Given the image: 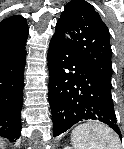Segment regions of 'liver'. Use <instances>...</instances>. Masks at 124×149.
Masks as SVG:
<instances>
[{"label":"liver","instance_id":"liver-1","mask_svg":"<svg viewBox=\"0 0 124 149\" xmlns=\"http://www.w3.org/2000/svg\"><path fill=\"white\" fill-rule=\"evenodd\" d=\"M5 146L4 141L0 138V149H3V147Z\"/></svg>","mask_w":124,"mask_h":149}]
</instances>
